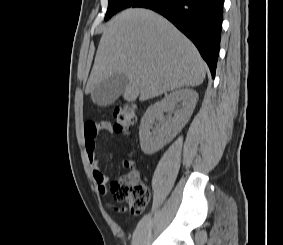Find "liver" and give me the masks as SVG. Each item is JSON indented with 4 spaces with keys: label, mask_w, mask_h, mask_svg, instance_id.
I'll return each mask as SVG.
<instances>
[{
    "label": "liver",
    "mask_w": 283,
    "mask_h": 245,
    "mask_svg": "<svg viewBox=\"0 0 283 245\" xmlns=\"http://www.w3.org/2000/svg\"><path fill=\"white\" fill-rule=\"evenodd\" d=\"M117 73L127 76V102L203 83L206 64L194 44L161 15L129 8L113 18L96 52L85 92Z\"/></svg>",
    "instance_id": "6515ba94"
}]
</instances>
